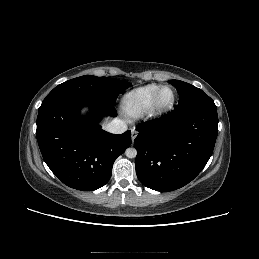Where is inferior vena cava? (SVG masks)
<instances>
[{
	"mask_svg": "<svg viewBox=\"0 0 259 259\" xmlns=\"http://www.w3.org/2000/svg\"><path fill=\"white\" fill-rule=\"evenodd\" d=\"M105 130L112 134H122L127 130V125L124 121L115 119L105 126Z\"/></svg>",
	"mask_w": 259,
	"mask_h": 259,
	"instance_id": "inferior-vena-cava-1",
	"label": "inferior vena cava"
}]
</instances>
